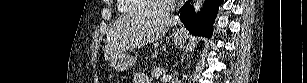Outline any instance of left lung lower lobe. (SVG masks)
Wrapping results in <instances>:
<instances>
[{
	"mask_svg": "<svg viewBox=\"0 0 307 83\" xmlns=\"http://www.w3.org/2000/svg\"><path fill=\"white\" fill-rule=\"evenodd\" d=\"M222 2L223 0H206L201 15L196 16L193 7L187 1L180 9V20L192 34L211 37L213 22Z\"/></svg>",
	"mask_w": 307,
	"mask_h": 83,
	"instance_id": "left-lung-lower-lobe-1",
	"label": "left lung lower lobe"
}]
</instances>
